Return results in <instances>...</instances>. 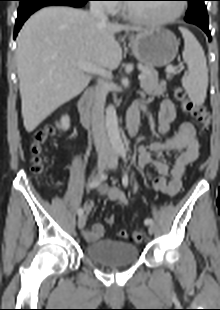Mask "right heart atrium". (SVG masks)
I'll return each mask as SVG.
<instances>
[{"instance_id":"d8ad5b80","label":"right heart atrium","mask_w":220,"mask_h":310,"mask_svg":"<svg viewBox=\"0 0 220 310\" xmlns=\"http://www.w3.org/2000/svg\"><path fill=\"white\" fill-rule=\"evenodd\" d=\"M105 2L104 4V9L108 13H115L118 10L117 4L115 3L114 0H103Z\"/></svg>"}]
</instances>
